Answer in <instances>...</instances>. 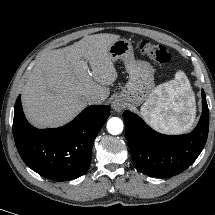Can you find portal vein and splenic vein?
Masks as SVG:
<instances>
[{
    "mask_svg": "<svg viewBox=\"0 0 215 215\" xmlns=\"http://www.w3.org/2000/svg\"><path fill=\"white\" fill-rule=\"evenodd\" d=\"M81 63H82L83 68H84L85 70L89 71V67H88L87 61L82 60Z\"/></svg>",
    "mask_w": 215,
    "mask_h": 215,
    "instance_id": "obj_1",
    "label": "portal vein and splenic vein"
}]
</instances>
